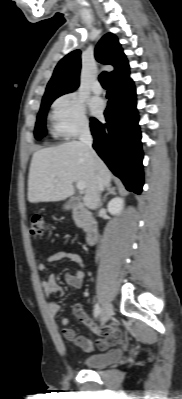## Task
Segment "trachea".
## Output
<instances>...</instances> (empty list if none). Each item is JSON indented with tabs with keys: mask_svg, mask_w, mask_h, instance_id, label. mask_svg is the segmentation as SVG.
Wrapping results in <instances>:
<instances>
[{
	"mask_svg": "<svg viewBox=\"0 0 182 399\" xmlns=\"http://www.w3.org/2000/svg\"><path fill=\"white\" fill-rule=\"evenodd\" d=\"M99 81L104 88H107L109 85V75L107 72H102L99 76Z\"/></svg>",
	"mask_w": 182,
	"mask_h": 399,
	"instance_id": "obj_1",
	"label": "trachea"
}]
</instances>
